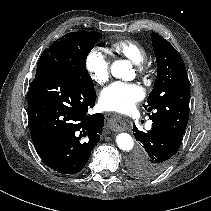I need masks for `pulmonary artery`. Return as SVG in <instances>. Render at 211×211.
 I'll return each instance as SVG.
<instances>
[{
    "mask_svg": "<svg viewBox=\"0 0 211 211\" xmlns=\"http://www.w3.org/2000/svg\"><path fill=\"white\" fill-rule=\"evenodd\" d=\"M151 125H152V123L149 122V123L147 124V128L150 129V128H151Z\"/></svg>",
    "mask_w": 211,
    "mask_h": 211,
    "instance_id": "obj_1",
    "label": "pulmonary artery"
}]
</instances>
